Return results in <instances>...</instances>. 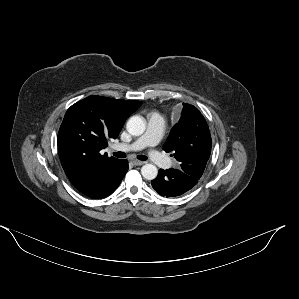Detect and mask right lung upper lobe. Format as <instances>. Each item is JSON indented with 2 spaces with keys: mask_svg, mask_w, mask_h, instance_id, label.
I'll return each mask as SVG.
<instances>
[{
  "mask_svg": "<svg viewBox=\"0 0 299 299\" xmlns=\"http://www.w3.org/2000/svg\"><path fill=\"white\" fill-rule=\"evenodd\" d=\"M140 101L90 96L66 112L58 133V152L71 183L83 194L92 193L106 181L120 159L101 155L109 138H116Z\"/></svg>",
  "mask_w": 299,
  "mask_h": 299,
  "instance_id": "right-lung-upper-lobe-1",
  "label": "right lung upper lobe"
}]
</instances>
